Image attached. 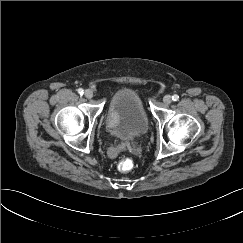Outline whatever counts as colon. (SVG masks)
Returning <instances> with one entry per match:
<instances>
[{"mask_svg": "<svg viewBox=\"0 0 243 243\" xmlns=\"http://www.w3.org/2000/svg\"><path fill=\"white\" fill-rule=\"evenodd\" d=\"M133 161L131 159H122L118 164V170L121 172H129L133 169Z\"/></svg>", "mask_w": 243, "mask_h": 243, "instance_id": "obj_1", "label": "colon"}]
</instances>
